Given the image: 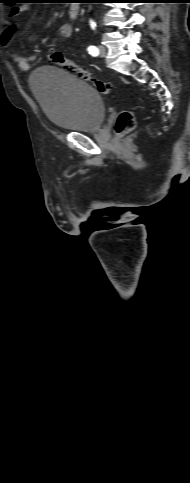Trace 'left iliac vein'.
I'll use <instances>...</instances> for the list:
<instances>
[{"label": "left iliac vein", "instance_id": "4c4485c4", "mask_svg": "<svg viewBox=\"0 0 190 483\" xmlns=\"http://www.w3.org/2000/svg\"><path fill=\"white\" fill-rule=\"evenodd\" d=\"M98 49H99V55L101 57H105V55H106V48L103 45H99Z\"/></svg>", "mask_w": 190, "mask_h": 483}]
</instances>
